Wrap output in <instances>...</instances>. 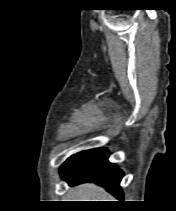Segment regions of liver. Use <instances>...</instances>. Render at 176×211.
Instances as JSON below:
<instances>
[{
    "mask_svg": "<svg viewBox=\"0 0 176 211\" xmlns=\"http://www.w3.org/2000/svg\"><path fill=\"white\" fill-rule=\"evenodd\" d=\"M76 201H111L113 199L104 189L95 184H82L72 190Z\"/></svg>",
    "mask_w": 176,
    "mask_h": 211,
    "instance_id": "1",
    "label": "liver"
}]
</instances>
